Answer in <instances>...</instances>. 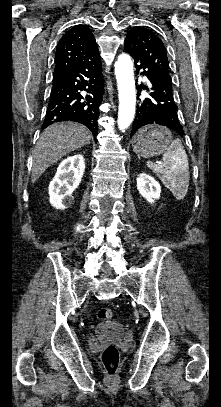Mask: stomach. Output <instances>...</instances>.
I'll return each mask as SVG.
<instances>
[{"label":"stomach","mask_w":221,"mask_h":407,"mask_svg":"<svg viewBox=\"0 0 221 407\" xmlns=\"http://www.w3.org/2000/svg\"><path fill=\"white\" fill-rule=\"evenodd\" d=\"M171 137V132L164 127L146 126L135 135L133 149L144 158L160 155L167 149Z\"/></svg>","instance_id":"1"}]
</instances>
